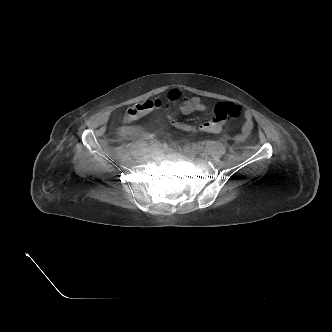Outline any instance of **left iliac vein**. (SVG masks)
Masks as SVG:
<instances>
[{
  "instance_id": "obj_1",
  "label": "left iliac vein",
  "mask_w": 332,
  "mask_h": 332,
  "mask_svg": "<svg viewBox=\"0 0 332 332\" xmlns=\"http://www.w3.org/2000/svg\"><path fill=\"white\" fill-rule=\"evenodd\" d=\"M184 153L188 155L189 157H194L195 153L192 151V149L188 146L184 147Z\"/></svg>"
}]
</instances>
